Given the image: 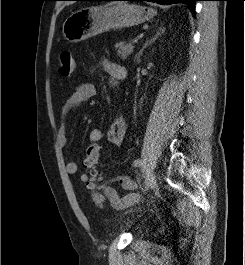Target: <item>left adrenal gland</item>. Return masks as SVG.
<instances>
[{
  "label": "left adrenal gland",
  "mask_w": 245,
  "mask_h": 265,
  "mask_svg": "<svg viewBox=\"0 0 245 265\" xmlns=\"http://www.w3.org/2000/svg\"><path fill=\"white\" fill-rule=\"evenodd\" d=\"M165 32V28L164 27H159L156 30V34L150 39V40H146V42L144 43L142 49L139 51V53L135 56L136 62L140 63V57L144 51V49H146L149 45H151L152 43L155 42V40L161 36V34H163Z\"/></svg>",
  "instance_id": "a2214340"
}]
</instances>
